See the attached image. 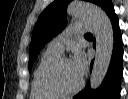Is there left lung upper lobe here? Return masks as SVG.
<instances>
[{"label":"left lung upper lobe","mask_w":128,"mask_h":99,"mask_svg":"<svg viewBox=\"0 0 128 99\" xmlns=\"http://www.w3.org/2000/svg\"><path fill=\"white\" fill-rule=\"evenodd\" d=\"M70 1L55 0L39 15L29 46V70H31L42 47L64 29L66 25V8ZM89 1L98 6H101L103 2V0Z\"/></svg>","instance_id":"obj_1"}]
</instances>
